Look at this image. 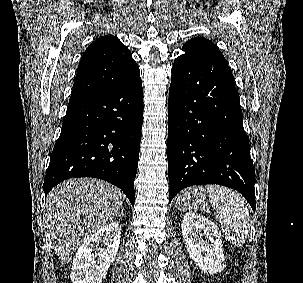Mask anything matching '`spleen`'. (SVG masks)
I'll return each mask as SVG.
<instances>
[{
  "mask_svg": "<svg viewBox=\"0 0 303 283\" xmlns=\"http://www.w3.org/2000/svg\"><path fill=\"white\" fill-rule=\"evenodd\" d=\"M206 189L226 238L233 245L242 246L249 237L250 229L249 211L244 200L233 190L223 186L209 185ZM203 210L207 213L210 211L207 206Z\"/></svg>",
  "mask_w": 303,
  "mask_h": 283,
  "instance_id": "obj_1",
  "label": "spleen"
}]
</instances>
